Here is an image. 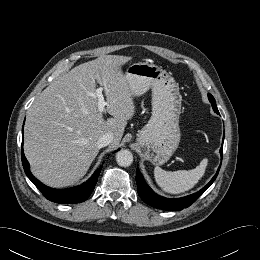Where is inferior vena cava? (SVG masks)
<instances>
[{
  "mask_svg": "<svg viewBox=\"0 0 260 260\" xmlns=\"http://www.w3.org/2000/svg\"><path fill=\"white\" fill-rule=\"evenodd\" d=\"M112 141H113V135L110 133H105L98 138L97 144L100 148H102L109 145Z\"/></svg>",
  "mask_w": 260,
  "mask_h": 260,
  "instance_id": "602c4592",
  "label": "inferior vena cava"
}]
</instances>
